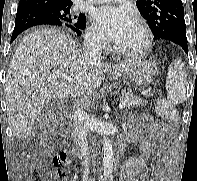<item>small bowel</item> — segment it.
Listing matches in <instances>:
<instances>
[{
	"label": "small bowel",
	"mask_w": 197,
	"mask_h": 181,
	"mask_svg": "<svg viewBox=\"0 0 197 181\" xmlns=\"http://www.w3.org/2000/svg\"><path fill=\"white\" fill-rule=\"evenodd\" d=\"M132 126L130 138L140 144V154L126 163L119 181H170L173 128L148 114L134 119ZM154 156H159L156 164L150 162Z\"/></svg>",
	"instance_id": "obj_1"
}]
</instances>
